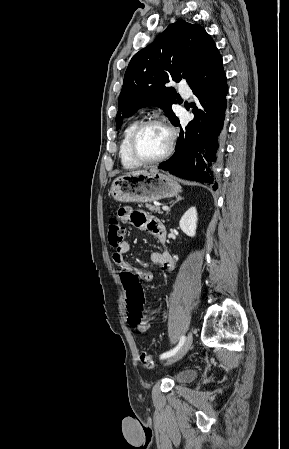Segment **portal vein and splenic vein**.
<instances>
[{"mask_svg":"<svg viewBox=\"0 0 289 449\" xmlns=\"http://www.w3.org/2000/svg\"><path fill=\"white\" fill-rule=\"evenodd\" d=\"M162 209L166 211V210H168L169 208H168V206H162Z\"/></svg>","mask_w":289,"mask_h":449,"instance_id":"obj_1","label":"portal vein and splenic vein"}]
</instances>
